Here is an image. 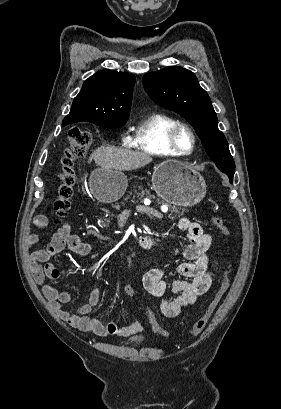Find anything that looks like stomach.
<instances>
[{"label": "stomach", "mask_w": 281, "mask_h": 409, "mask_svg": "<svg viewBox=\"0 0 281 409\" xmlns=\"http://www.w3.org/2000/svg\"><path fill=\"white\" fill-rule=\"evenodd\" d=\"M127 186L125 174L116 168H95L90 174V192L100 202H115L123 196ZM152 186L160 198L178 207H193L206 194L203 176L181 160H163L156 164Z\"/></svg>", "instance_id": "obj_1"}]
</instances>
